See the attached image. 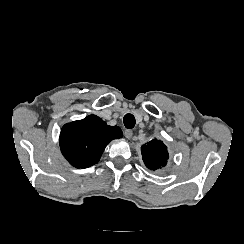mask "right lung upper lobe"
<instances>
[{
	"label": "right lung upper lobe",
	"instance_id": "right-lung-upper-lobe-1",
	"mask_svg": "<svg viewBox=\"0 0 244 244\" xmlns=\"http://www.w3.org/2000/svg\"><path fill=\"white\" fill-rule=\"evenodd\" d=\"M122 131L117 126H108L96 115L68 123L60 133V148L64 157L76 168L96 164L113 139H119Z\"/></svg>",
	"mask_w": 244,
	"mask_h": 244
}]
</instances>
